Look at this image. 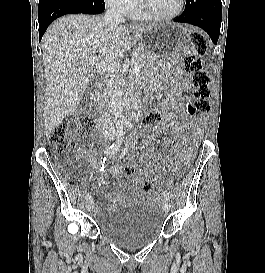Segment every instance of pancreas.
Wrapping results in <instances>:
<instances>
[{
    "mask_svg": "<svg viewBox=\"0 0 265 273\" xmlns=\"http://www.w3.org/2000/svg\"><path fill=\"white\" fill-rule=\"evenodd\" d=\"M132 64L139 69H142L148 61L151 60V57L148 55V53L142 49L141 47H137L132 51ZM123 82V76L116 72L111 75V85H118Z\"/></svg>",
    "mask_w": 265,
    "mask_h": 273,
    "instance_id": "pancreas-1",
    "label": "pancreas"
}]
</instances>
